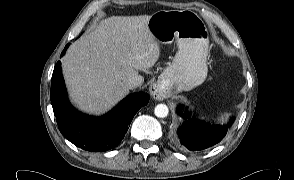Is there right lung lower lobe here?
Returning a JSON list of instances; mask_svg holds the SVG:
<instances>
[{
	"label": "right lung lower lobe",
	"instance_id": "1",
	"mask_svg": "<svg viewBox=\"0 0 294 180\" xmlns=\"http://www.w3.org/2000/svg\"><path fill=\"white\" fill-rule=\"evenodd\" d=\"M68 46L69 44L65 46L61 56L65 54ZM50 97L63 136L77 147L99 152L117 146L124 138L136 112L149 102L146 93H134L102 117L95 118L82 114L68 101L60 61L54 67Z\"/></svg>",
	"mask_w": 294,
	"mask_h": 180
}]
</instances>
